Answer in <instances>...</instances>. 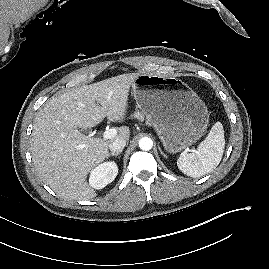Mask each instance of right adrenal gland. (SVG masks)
I'll list each match as a JSON object with an SVG mask.
<instances>
[{
  "mask_svg": "<svg viewBox=\"0 0 269 269\" xmlns=\"http://www.w3.org/2000/svg\"><path fill=\"white\" fill-rule=\"evenodd\" d=\"M122 151L119 152H112L109 154V156H118Z\"/></svg>",
  "mask_w": 269,
  "mask_h": 269,
  "instance_id": "1",
  "label": "right adrenal gland"
}]
</instances>
